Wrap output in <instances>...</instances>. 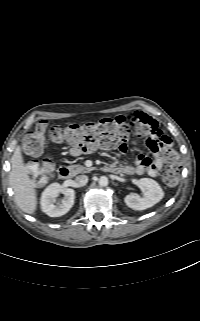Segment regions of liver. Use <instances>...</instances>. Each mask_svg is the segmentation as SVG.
<instances>
[{"instance_id": "1", "label": "liver", "mask_w": 200, "mask_h": 321, "mask_svg": "<svg viewBox=\"0 0 200 321\" xmlns=\"http://www.w3.org/2000/svg\"><path fill=\"white\" fill-rule=\"evenodd\" d=\"M9 183L14 191L17 206L25 213L34 214L37 208L36 191L23 162L20 146L11 157Z\"/></svg>"}]
</instances>
